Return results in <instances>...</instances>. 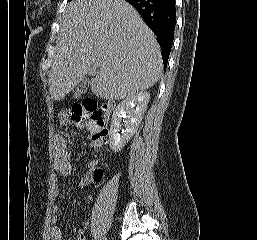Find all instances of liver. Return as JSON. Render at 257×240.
Segmentation results:
<instances>
[{"instance_id": "liver-1", "label": "liver", "mask_w": 257, "mask_h": 240, "mask_svg": "<svg viewBox=\"0 0 257 240\" xmlns=\"http://www.w3.org/2000/svg\"><path fill=\"white\" fill-rule=\"evenodd\" d=\"M91 70L92 92L109 100L146 90L162 75L155 35L125 0H73L63 12L48 73L52 98L63 99Z\"/></svg>"}]
</instances>
